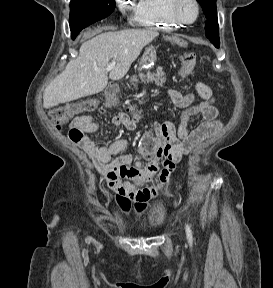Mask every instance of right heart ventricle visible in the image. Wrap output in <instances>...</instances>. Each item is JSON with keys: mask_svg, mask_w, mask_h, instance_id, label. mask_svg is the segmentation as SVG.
Segmentation results:
<instances>
[{"mask_svg": "<svg viewBox=\"0 0 273 288\" xmlns=\"http://www.w3.org/2000/svg\"><path fill=\"white\" fill-rule=\"evenodd\" d=\"M169 0H137L132 23L139 27L172 30L180 24L169 14Z\"/></svg>", "mask_w": 273, "mask_h": 288, "instance_id": "obj_1", "label": "right heart ventricle"}]
</instances>
